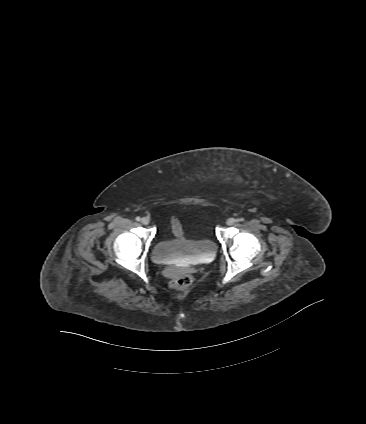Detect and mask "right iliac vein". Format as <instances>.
<instances>
[{
  "mask_svg": "<svg viewBox=\"0 0 366 424\" xmlns=\"http://www.w3.org/2000/svg\"><path fill=\"white\" fill-rule=\"evenodd\" d=\"M141 222H142V224H144V225H148V224H149V222H150V220H149V218H147V217H143V218L141 219Z\"/></svg>",
  "mask_w": 366,
  "mask_h": 424,
  "instance_id": "63e3f726",
  "label": "right iliac vein"
}]
</instances>
